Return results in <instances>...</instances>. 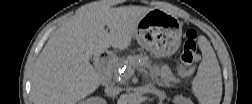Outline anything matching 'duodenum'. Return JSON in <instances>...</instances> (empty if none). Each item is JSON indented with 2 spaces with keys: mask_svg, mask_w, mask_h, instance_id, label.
I'll use <instances>...</instances> for the list:
<instances>
[{
  "mask_svg": "<svg viewBox=\"0 0 252 104\" xmlns=\"http://www.w3.org/2000/svg\"><path fill=\"white\" fill-rule=\"evenodd\" d=\"M99 60L106 64V63H109L110 62V56L106 53H101V55L99 56Z\"/></svg>",
  "mask_w": 252,
  "mask_h": 104,
  "instance_id": "1",
  "label": "duodenum"
}]
</instances>
